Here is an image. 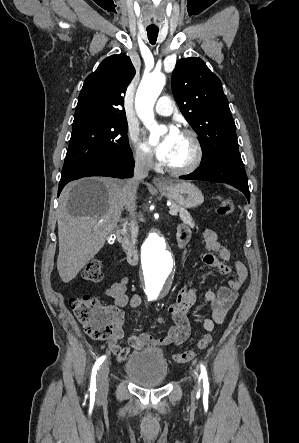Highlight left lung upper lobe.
Returning <instances> with one entry per match:
<instances>
[{"mask_svg": "<svg viewBox=\"0 0 299 443\" xmlns=\"http://www.w3.org/2000/svg\"><path fill=\"white\" fill-rule=\"evenodd\" d=\"M172 90L182 114L202 141L201 164L241 161L235 123L219 78L198 57L178 60Z\"/></svg>", "mask_w": 299, "mask_h": 443, "instance_id": "left-lung-upper-lobe-1", "label": "left lung upper lobe"}]
</instances>
